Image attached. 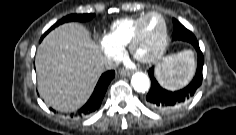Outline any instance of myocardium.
<instances>
[{"mask_svg": "<svg viewBox=\"0 0 236 135\" xmlns=\"http://www.w3.org/2000/svg\"><path fill=\"white\" fill-rule=\"evenodd\" d=\"M153 16H155L161 20L162 25H163V35H162V38H161L158 46L150 55L140 56L137 53V46L139 45V43L141 41L143 28H144L146 21L150 17H153ZM168 37H169L168 25H167L165 18L157 12H149V13L145 14V16L140 20V22L138 23V25L131 37V40L128 44L129 53L139 62L154 63L163 55V53L166 49L167 43H168Z\"/></svg>", "mask_w": 236, "mask_h": 135, "instance_id": "f54148a6", "label": "myocardium"}]
</instances>
